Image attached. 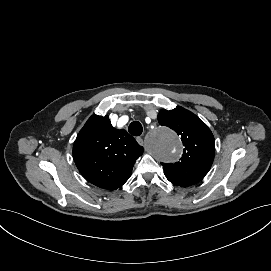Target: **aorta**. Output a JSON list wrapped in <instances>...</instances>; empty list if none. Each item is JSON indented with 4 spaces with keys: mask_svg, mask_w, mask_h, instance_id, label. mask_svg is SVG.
Listing matches in <instances>:
<instances>
[{
    "mask_svg": "<svg viewBox=\"0 0 271 271\" xmlns=\"http://www.w3.org/2000/svg\"><path fill=\"white\" fill-rule=\"evenodd\" d=\"M147 147L156 159L164 162L177 161L183 151L180 138L167 127L152 131L147 137Z\"/></svg>",
    "mask_w": 271,
    "mask_h": 271,
    "instance_id": "aorta-1",
    "label": "aorta"
}]
</instances>
